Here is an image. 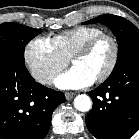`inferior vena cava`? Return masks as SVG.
I'll return each mask as SVG.
<instances>
[{
	"label": "inferior vena cava",
	"mask_w": 139,
	"mask_h": 139,
	"mask_svg": "<svg viewBox=\"0 0 139 139\" xmlns=\"http://www.w3.org/2000/svg\"><path fill=\"white\" fill-rule=\"evenodd\" d=\"M51 79H52V75L48 72L41 74L39 77V81L44 84L49 83L51 81Z\"/></svg>",
	"instance_id": "602c4592"
}]
</instances>
